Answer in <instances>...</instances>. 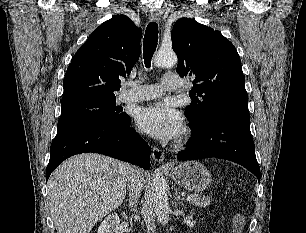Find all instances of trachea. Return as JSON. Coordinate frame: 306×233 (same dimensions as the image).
<instances>
[{"label": "trachea", "mask_w": 306, "mask_h": 233, "mask_svg": "<svg viewBox=\"0 0 306 233\" xmlns=\"http://www.w3.org/2000/svg\"><path fill=\"white\" fill-rule=\"evenodd\" d=\"M158 42V24L156 22H151L148 24L143 45L144 63L147 68H150L151 59L156 50Z\"/></svg>", "instance_id": "3493384b"}]
</instances>
